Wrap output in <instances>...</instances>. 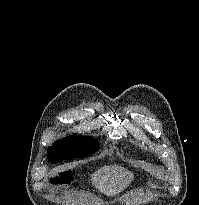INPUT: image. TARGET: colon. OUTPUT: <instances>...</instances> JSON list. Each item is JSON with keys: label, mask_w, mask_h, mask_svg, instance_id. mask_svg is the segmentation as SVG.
<instances>
[{"label": "colon", "mask_w": 199, "mask_h": 205, "mask_svg": "<svg viewBox=\"0 0 199 205\" xmlns=\"http://www.w3.org/2000/svg\"><path fill=\"white\" fill-rule=\"evenodd\" d=\"M72 181V173L61 172L51 179L52 184L69 185Z\"/></svg>", "instance_id": "5ec220e1"}]
</instances>
